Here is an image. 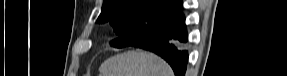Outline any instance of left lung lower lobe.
I'll return each mask as SVG.
<instances>
[{
  "mask_svg": "<svg viewBox=\"0 0 287 76\" xmlns=\"http://www.w3.org/2000/svg\"><path fill=\"white\" fill-rule=\"evenodd\" d=\"M186 42L185 18L180 10L128 46L158 54L170 64L176 76H184L188 59L183 46Z\"/></svg>",
  "mask_w": 287,
  "mask_h": 76,
  "instance_id": "0a47b994",
  "label": "left lung lower lobe"
}]
</instances>
